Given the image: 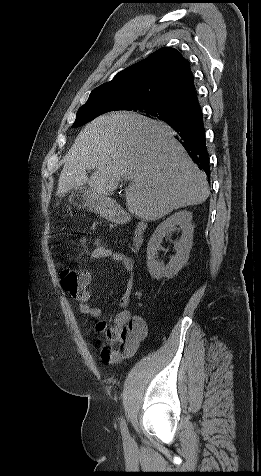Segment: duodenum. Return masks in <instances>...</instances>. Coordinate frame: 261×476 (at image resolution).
Listing matches in <instances>:
<instances>
[{
  "mask_svg": "<svg viewBox=\"0 0 261 476\" xmlns=\"http://www.w3.org/2000/svg\"><path fill=\"white\" fill-rule=\"evenodd\" d=\"M113 219L118 223H123L126 221V216L120 212L113 215ZM146 225L144 223H139L136 227L134 237H133V248L138 249L143 242V237L145 233Z\"/></svg>",
  "mask_w": 261,
  "mask_h": 476,
  "instance_id": "1",
  "label": "duodenum"
}]
</instances>
